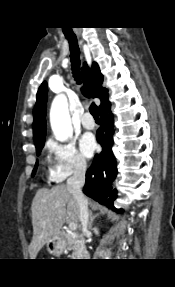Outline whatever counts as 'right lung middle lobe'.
Masks as SVG:
<instances>
[{
    "instance_id": "1",
    "label": "right lung middle lobe",
    "mask_w": 175,
    "mask_h": 287,
    "mask_svg": "<svg viewBox=\"0 0 175 287\" xmlns=\"http://www.w3.org/2000/svg\"><path fill=\"white\" fill-rule=\"evenodd\" d=\"M35 146H36V153H37V155H40L41 150H42V147L44 146V141H41V142H39V143H36ZM37 165H38V163L35 164V168H34V170H33V175H34L35 172H36Z\"/></svg>"
}]
</instances>
